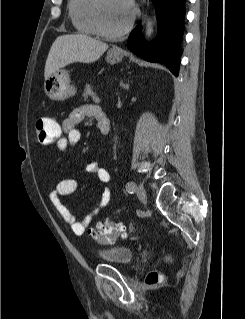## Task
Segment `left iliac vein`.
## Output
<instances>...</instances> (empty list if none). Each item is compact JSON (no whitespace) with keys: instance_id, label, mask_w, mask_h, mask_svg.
I'll return each instance as SVG.
<instances>
[{"instance_id":"left-iliac-vein-1","label":"left iliac vein","mask_w":245,"mask_h":319,"mask_svg":"<svg viewBox=\"0 0 245 319\" xmlns=\"http://www.w3.org/2000/svg\"><path fill=\"white\" fill-rule=\"evenodd\" d=\"M136 195H137L138 199L141 202L146 203L147 196H146V192H145V189H144L142 184H138L137 185V187H136Z\"/></svg>"}]
</instances>
